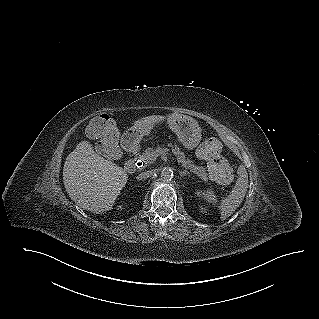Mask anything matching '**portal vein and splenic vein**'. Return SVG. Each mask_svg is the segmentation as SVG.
Instances as JSON below:
<instances>
[{
	"label": "portal vein and splenic vein",
	"instance_id": "portal-vein-and-splenic-vein-1",
	"mask_svg": "<svg viewBox=\"0 0 319 319\" xmlns=\"http://www.w3.org/2000/svg\"><path fill=\"white\" fill-rule=\"evenodd\" d=\"M161 154H165V155H166V154H168V153H167L166 150H161V149H159V150H156V151H155L153 157L156 159V157H158V156L161 155Z\"/></svg>",
	"mask_w": 319,
	"mask_h": 319
}]
</instances>
